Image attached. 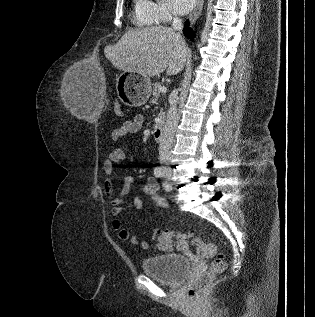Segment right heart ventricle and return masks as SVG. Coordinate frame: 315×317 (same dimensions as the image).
Returning <instances> with one entry per match:
<instances>
[{"label": "right heart ventricle", "mask_w": 315, "mask_h": 317, "mask_svg": "<svg viewBox=\"0 0 315 317\" xmlns=\"http://www.w3.org/2000/svg\"><path fill=\"white\" fill-rule=\"evenodd\" d=\"M132 22L138 27H150L157 23L147 0H134Z\"/></svg>", "instance_id": "right-heart-ventricle-1"}]
</instances>
